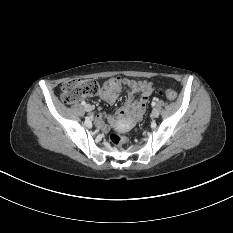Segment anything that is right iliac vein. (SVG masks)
I'll return each instance as SVG.
<instances>
[{
  "mask_svg": "<svg viewBox=\"0 0 233 233\" xmlns=\"http://www.w3.org/2000/svg\"><path fill=\"white\" fill-rule=\"evenodd\" d=\"M84 109H85V111H87V112H91V111H92V106L89 105V104H86V105L84 106Z\"/></svg>",
  "mask_w": 233,
  "mask_h": 233,
  "instance_id": "obj_1",
  "label": "right iliac vein"
}]
</instances>
